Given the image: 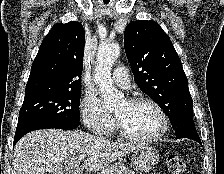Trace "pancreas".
Listing matches in <instances>:
<instances>
[{"mask_svg":"<svg viewBox=\"0 0 224 174\" xmlns=\"http://www.w3.org/2000/svg\"><path fill=\"white\" fill-rule=\"evenodd\" d=\"M98 174H135V172L121 163H114Z\"/></svg>","mask_w":224,"mask_h":174,"instance_id":"obj_1","label":"pancreas"}]
</instances>
